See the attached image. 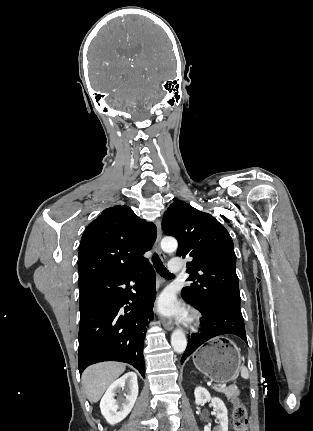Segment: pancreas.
<instances>
[{
	"instance_id": "obj_1",
	"label": "pancreas",
	"mask_w": 313,
	"mask_h": 431,
	"mask_svg": "<svg viewBox=\"0 0 313 431\" xmlns=\"http://www.w3.org/2000/svg\"><path fill=\"white\" fill-rule=\"evenodd\" d=\"M214 389L220 393L225 394L228 399H232L239 395V390L235 385H232L229 387L218 386V387H214Z\"/></svg>"
}]
</instances>
